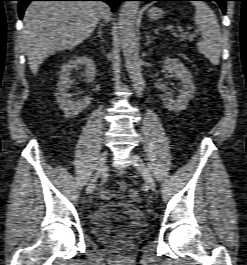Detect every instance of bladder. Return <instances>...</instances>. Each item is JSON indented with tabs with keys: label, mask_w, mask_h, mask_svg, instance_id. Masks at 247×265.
<instances>
[{
	"label": "bladder",
	"mask_w": 247,
	"mask_h": 265,
	"mask_svg": "<svg viewBox=\"0 0 247 265\" xmlns=\"http://www.w3.org/2000/svg\"><path fill=\"white\" fill-rule=\"evenodd\" d=\"M146 230V218L142 210L125 203H106L92 215L91 231L96 239L112 241L133 240Z\"/></svg>",
	"instance_id": "1"
}]
</instances>
